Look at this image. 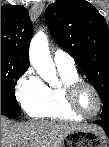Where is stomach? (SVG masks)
<instances>
[{
    "mask_svg": "<svg viewBox=\"0 0 109 147\" xmlns=\"http://www.w3.org/2000/svg\"><path fill=\"white\" fill-rule=\"evenodd\" d=\"M109 141L104 133L92 131H73L65 139L63 147H108Z\"/></svg>",
    "mask_w": 109,
    "mask_h": 147,
    "instance_id": "0dacf381",
    "label": "stomach"
}]
</instances>
